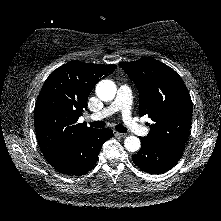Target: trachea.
Wrapping results in <instances>:
<instances>
[{"label":"trachea","instance_id":"1","mask_svg":"<svg viewBox=\"0 0 221 221\" xmlns=\"http://www.w3.org/2000/svg\"><path fill=\"white\" fill-rule=\"evenodd\" d=\"M90 124H91V126H93L95 128H103L106 125V123L104 121H95ZM115 129L121 133L127 132V128L124 127L123 125H120V124L116 125Z\"/></svg>","mask_w":221,"mask_h":221}]
</instances>
